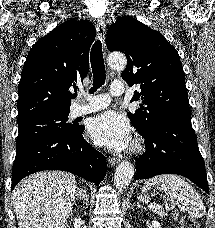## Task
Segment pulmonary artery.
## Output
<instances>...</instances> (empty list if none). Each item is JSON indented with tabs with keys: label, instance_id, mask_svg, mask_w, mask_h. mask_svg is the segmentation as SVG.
<instances>
[{
	"label": "pulmonary artery",
	"instance_id": "e3ab8cb5",
	"mask_svg": "<svg viewBox=\"0 0 215 228\" xmlns=\"http://www.w3.org/2000/svg\"><path fill=\"white\" fill-rule=\"evenodd\" d=\"M125 82H114L110 84L111 93L115 96L122 95L124 92ZM110 103V98L107 94L88 95L85 92H80L71 107L70 115L78 117L89 114L106 108Z\"/></svg>",
	"mask_w": 215,
	"mask_h": 228
}]
</instances>
